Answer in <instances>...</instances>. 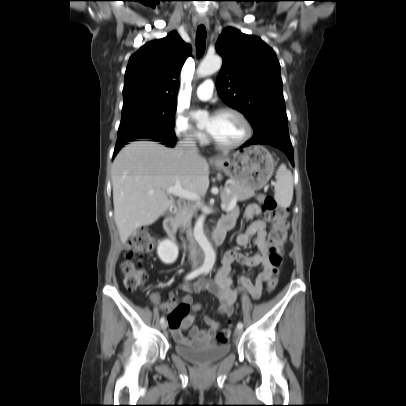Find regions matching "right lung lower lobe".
<instances>
[{
    "label": "right lung lower lobe",
    "mask_w": 406,
    "mask_h": 406,
    "mask_svg": "<svg viewBox=\"0 0 406 406\" xmlns=\"http://www.w3.org/2000/svg\"><path fill=\"white\" fill-rule=\"evenodd\" d=\"M175 138L176 137H164V138H160V139H155L154 141L161 142L162 144L167 145V147H174L175 141H176ZM125 144H127V143L116 144L113 157L116 156V154L119 152V150L122 147H124Z\"/></svg>",
    "instance_id": "right-lung-lower-lobe-1"
}]
</instances>
